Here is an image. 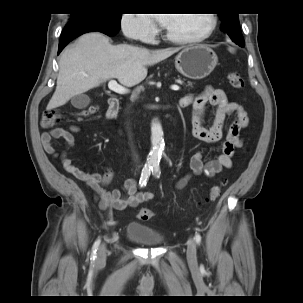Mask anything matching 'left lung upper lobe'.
I'll return each instance as SVG.
<instances>
[{"instance_id":"obj_1","label":"left lung upper lobe","mask_w":303,"mask_h":303,"mask_svg":"<svg viewBox=\"0 0 303 303\" xmlns=\"http://www.w3.org/2000/svg\"><path fill=\"white\" fill-rule=\"evenodd\" d=\"M222 24L221 29L226 32L231 40L238 45H244V40L239 26V17L236 13L219 14Z\"/></svg>"}]
</instances>
